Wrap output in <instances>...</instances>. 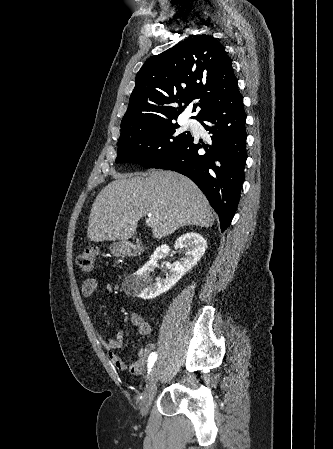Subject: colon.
Listing matches in <instances>:
<instances>
[{
	"label": "colon",
	"instance_id": "1",
	"mask_svg": "<svg viewBox=\"0 0 333 449\" xmlns=\"http://www.w3.org/2000/svg\"><path fill=\"white\" fill-rule=\"evenodd\" d=\"M98 255V250L95 247L86 248L82 253L76 257V265L85 272L92 270L95 260Z\"/></svg>",
	"mask_w": 333,
	"mask_h": 449
}]
</instances>
